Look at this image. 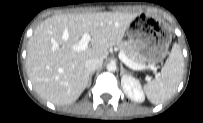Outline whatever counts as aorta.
Instances as JSON below:
<instances>
[{
    "label": "aorta",
    "instance_id": "obj_1",
    "mask_svg": "<svg viewBox=\"0 0 203 123\" xmlns=\"http://www.w3.org/2000/svg\"><path fill=\"white\" fill-rule=\"evenodd\" d=\"M107 70L108 71H115L116 70V64L115 63H109L108 65H107Z\"/></svg>",
    "mask_w": 203,
    "mask_h": 123
}]
</instances>
